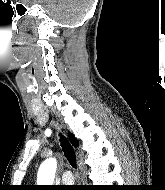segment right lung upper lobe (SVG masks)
Masks as SVG:
<instances>
[{
    "instance_id": "obj_1",
    "label": "right lung upper lobe",
    "mask_w": 165,
    "mask_h": 190,
    "mask_svg": "<svg viewBox=\"0 0 165 190\" xmlns=\"http://www.w3.org/2000/svg\"><path fill=\"white\" fill-rule=\"evenodd\" d=\"M69 139H70V141H71V143H72V145L74 147L78 146L79 143H78L77 139L73 135L69 134Z\"/></svg>"
}]
</instances>
